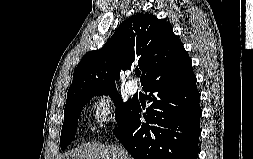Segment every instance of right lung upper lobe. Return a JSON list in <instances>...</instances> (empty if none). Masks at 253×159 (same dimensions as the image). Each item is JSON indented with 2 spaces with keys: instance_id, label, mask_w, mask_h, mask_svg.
<instances>
[{
  "instance_id": "cb5924a9",
  "label": "right lung upper lobe",
  "mask_w": 253,
  "mask_h": 159,
  "mask_svg": "<svg viewBox=\"0 0 253 159\" xmlns=\"http://www.w3.org/2000/svg\"><path fill=\"white\" fill-rule=\"evenodd\" d=\"M137 66L141 84L174 76L192 65L180 39L164 19L138 13L125 20L106 44L86 53L74 71L66 104L89 95L114 91L120 71Z\"/></svg>"
}]
</instances>
